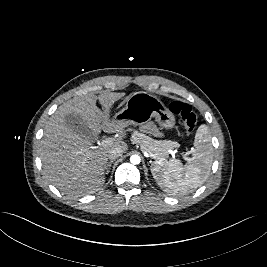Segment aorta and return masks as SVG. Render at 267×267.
Returning a JSON list of instances; mask_svg holds the SVG:
<instances>
[{
  "label": "aorta",
  "mask_w": 267,
  "mask_h": 267,
  "mask_svg": "<svg viewBox=\"0 0 267 267\" xmlns=\"http://www.w3.org/2000/svg\"><path fill=\"white\" fill-rule=\"evenodd\" d=\"M140 161H141L140 156L137 155V154H134V155H132V156L130 157V162H131L132 164H134V165L139 164Z\"/></svg>",
  "instance_id": "aorta-1"
}]
</instances>
